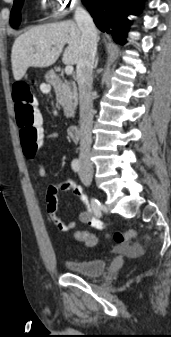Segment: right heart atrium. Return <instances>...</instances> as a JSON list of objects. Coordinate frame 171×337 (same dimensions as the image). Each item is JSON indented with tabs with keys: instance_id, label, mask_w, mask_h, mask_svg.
Returning a JSON list of instances; mask_svg holds the SVG:
<instances>
[{
	"instance_id": "1",
	"label": "right heart atrium",
	"mask_w": 171,
	"mask_h": 337,
	"mask_svg": "<svg viewBox=\"0 0 171 337\" xmlns=\"http://www.w3.org/2000/svg\"><path fill=\"white\" fill-rule=\"evenodd\" d=\"M79 0H43L45 10L52 17H61L70 9L76 7ZM76 34V33H75Z\"/></svg>"
}]
</instances>
